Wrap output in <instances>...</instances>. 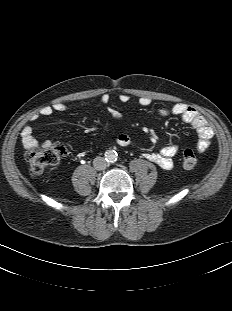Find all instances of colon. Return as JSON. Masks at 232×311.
<instances>
[{
    "instance_id": "5ec220e1",
    "label": "colon",
    "mask_w": 232,
    "mask_h": 311,
    "mask_svg": "<svg viewBox=\"0 0 232 311\" xmlns=\"http://www.w3.org/2000/svg\"><path fill=\"white\" fill-rule=\"evenodd\" d=\"M67 155L66 147L61 143H54L47 147H37L26 153V160L31 175L44 173L52 166L58 164ZM182 163L185 168H194L197 157L192 149H186L182 153Z\"/></svg>"
}]
</instances>
